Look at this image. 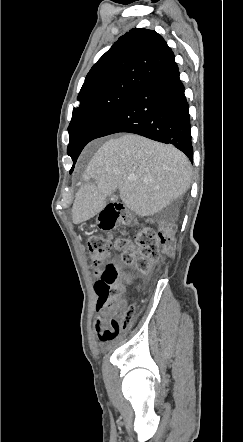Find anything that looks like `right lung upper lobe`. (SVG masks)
<instances>
[{
    "mask_svg": "<svg viewBox=\"0 0 243 442\" xmlns=\"http://www.w3.org/2000/svg\"><path fill=\"white\" fill-rule=\"evenodd\" d=\"M174 62V53L161 35L135 28L121 36L85 78L80 104L117 90H134Z\"/></svg>",
    "mask_w": 243,
    "mask_h": 442,
    "instance_id": "right-lung-upper-lobe-1",
    "label": "right lung upper lobe"
}]
</instances>
